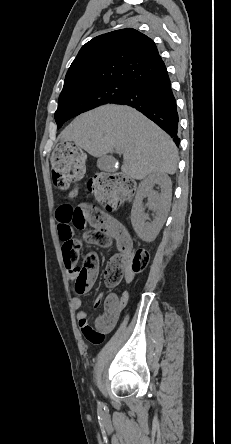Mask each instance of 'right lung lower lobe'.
I'll list each match as a JSON object with an SVG mask.
<instances>
[{"mask_svg": "<svg viewBox=\"0 0 231 444\" xmlns=\"http://www.w3.org/2000/svg\"><path fill=\"white\" fill-rule=\"evenodd\" d=\"M114 103L136 108L165 130L179 146V117L167 70L139 80L126 96Z\"/></svg>", "mask_w": 231, "mask_h": 444, "instance_id": "98d812e1", "label": "right lung lower lobe"}]
</instances>
